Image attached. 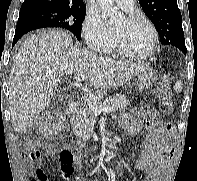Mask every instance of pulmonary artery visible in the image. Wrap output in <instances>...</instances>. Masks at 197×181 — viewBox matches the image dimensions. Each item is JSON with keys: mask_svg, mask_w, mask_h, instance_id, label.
I'll list each match as a JSON object with an SVG mask.
<instances>
[{"mask_svg": "<svg viewBox=\"0 0 197 181\" xmlns=\"http://www.w3.org/2000/svg\"><path fill=\"white\" fill-rule=\"evenodd\" d=\"M115 2L126 11L133 10L135 5V0H115Z\"/></svg>", "mask_w": 197, "mask_h": 181, "instance_id": "1", "label": "pulmonary artery"}]
</instances>
